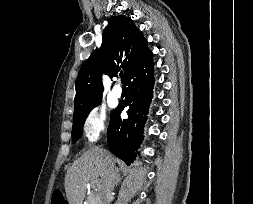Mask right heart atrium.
<instances>
[{
  "mask_svg": "<svg viewBox=\"0 0 253 204\" xmlns=\"http://www.w3.org/2000/svg\"><path fill=\"white\" fill-rule=\"evenodd\" d=\"M107 126L106 111L102 107H93L83 122V132L86 140L93 143L105 132Z\"/></svg>",
  "mask_w": 253,
  "mask_h": 204,
  "instance_id": "1",
  "label": "right heart atrium"
}]
</instances>
